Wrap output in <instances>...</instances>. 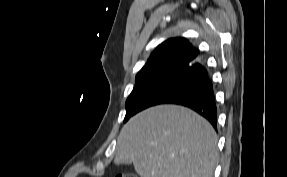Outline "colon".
I'll list each match as a JSON object with an SVG mask.
<instances>
[{
	"label": "colon",
	"mask_w": 287,
	"mask_h": 177,
	"mask_svg": "<svg viewBox=\"0 0 287 177\" xmlns=\"http://www.w3.org/2000/svg\"><path fill=\"white\" fill-rule=\"evenodd\" d=\"M116 177H136V176L132 174H118Z\"/></svg>",
	"instance_id": "colon-1"
}]
</instances>
